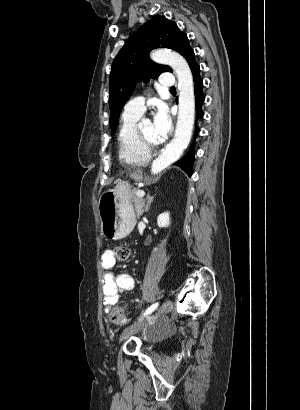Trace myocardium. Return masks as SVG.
<instances>
[{"label":"myocardium","instance_id":"1","mask_svg":"<svg viewBox=\"0 0 300 410\" xmlns=\"http://www.w3.org/2000/svg\"><path fill=\"white\" fill-rule=\"evenodd\" d=\"M137 137L139 140V143L142 145V147L146 150H152L155 149L159 146L158 143H153L151 141H149L146 136L144 135V133L142 132L141 129V125H137Z\"/></svg>","mask_w":300,"mask_h":410}]
</instances>
